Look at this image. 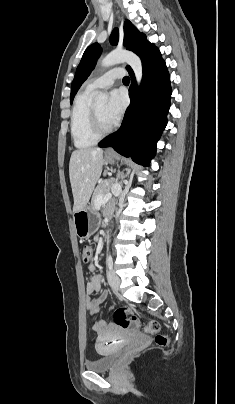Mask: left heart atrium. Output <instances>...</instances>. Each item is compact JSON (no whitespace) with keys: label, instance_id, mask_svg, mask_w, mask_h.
<instances>
[{"label":"left heart atrium","instance_id":"1","mask_svg":"<svg viewBox=\"0 0 235 404\" xmlns=\"http://www.w3.org/2000/svg\"><path fill=\"white\" fill-rule=\"evenodd\" d=\"M125 107L126 97L124 93L120 90L111 91L105 106V118L110 124L116 123L123 114Z\"/></svg>","mask_w":235,"mask_h":404}]
</instances>
